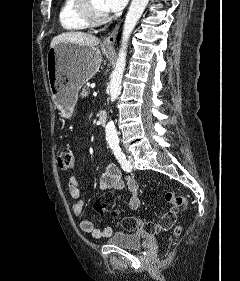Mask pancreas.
<instances>
[{
    "instance_id": "cf45deb5",
    "label": "pancreas",
    "mask_w": 240,
    "mask_h": 281,
    "mask_svg": "<svg viewBox=\"0 0 240 281\" xmlns=\"http://www.w3.org/2000/svg\"><path fill=\"white\" fill-rule=\"evenodd\" d=\"M90 93V90L88 87H84L80 93V96L83 98V97H87Z\"/></svg>"
}]
</instances>
